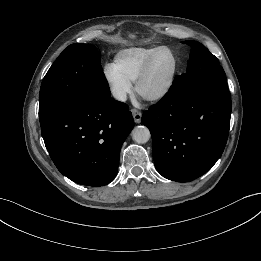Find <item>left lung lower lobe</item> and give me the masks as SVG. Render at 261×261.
<instances>
[{"mask_svg": "<svg viewBox=\"0 0 261 261\" xmlns=\"http://www.w3.org/2000/svg\"><path fill=\"white\" fill-rule=\"evenodd\" d=\"M230 116L226 80L205 82L183 99L170 90L142 115L151 132L157 171L177 182L206 173L225 148Z\"/></svg>", "mask_w": 261, "mask_h": 261, "instance_id": "0a47b994", "label": "left lung lower lobe"}]
</instances>
